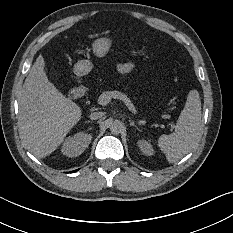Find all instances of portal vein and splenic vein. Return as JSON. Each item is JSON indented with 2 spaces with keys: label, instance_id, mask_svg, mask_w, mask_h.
<instances>
[{
  "label": "portal vein and splenic vein",
  "instance_id": "1",
  "mask_svg": "<svg viewBox=\"0 0 233 233\" xmlns=\"http://www.w3.org/2000/svg\"><path fill=\"white\" fill-rule=\"evenodd\" d=\"M112 98H118V99L122 100V102L126 104L127 108H129L133 114H135V115L138 114V111L133 106L132 101H130L128 99V97H126L125 94H123L121 92H117V91L105 92L100 96L99 102H101V104H106Z\"/></svg>",
  "mask_w": 233,
  "mask_h": 233
}]
</instances>
